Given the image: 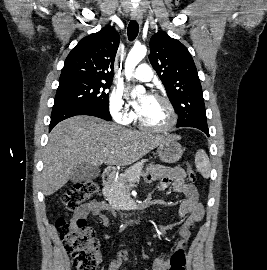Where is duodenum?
<instances>
[{
    "label": "duodenum",
    "instance_id": "obj_1",
    "mask_svg": "<svg viewBox=\"0 0 267 270\" xmlns=\"http://www.w3.org/2000/svg\"><path fill=\"white\" fill-rule=\"evenodd\" d=\"M112 179H113V171L111 169L105 170L103 175H102L103 185L109 184ZM141 223H142V221L140 219L125 221V224L129 227H139L141 225Z\"/></svg>",
    "mask_w": 267,
    "mask_h": 270
}]
</instances>
